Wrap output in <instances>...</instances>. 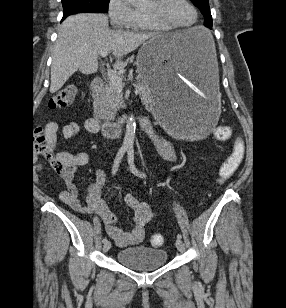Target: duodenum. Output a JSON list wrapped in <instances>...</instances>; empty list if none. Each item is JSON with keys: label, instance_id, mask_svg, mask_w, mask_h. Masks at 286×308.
<instances>
[{"label": "duodenum", "instance_id": "410a0bca", "mask_svg": "<svg viewBox=\"0 0 286 308\" xmlns=\"http://www.w3.org/2000/svg\"><path fill=\"white\" fill-rule=\"evenodd\" d=\"M103 87V80L99 77L95 78L92 81L91 89L93 92L99 91ZM149 120L147 118H142L138 124L141 128H145L148 124ZM102 133L107 137H115L121 135L125 130V122L117 121V122H109V121H101L99 124Z\"/></svg>", "mask_w": 286, "mask_h": 308}]
</instances>
